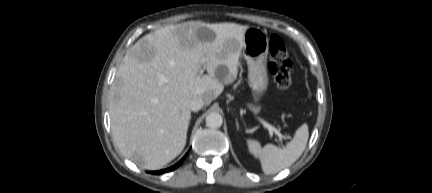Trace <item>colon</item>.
Wrapping results in <instances>:
<instances>
[{"instance_id":"obj_1","label":"colon","mask_w":432,"mask_h":193,"mask_svg":"<svg viewBox=\"0 0 432 193\" xmlns=\"http://www.w3.org/2000/svg\"><path fill=\"white\" fill-rule=\"evenodd\" d=\"M269 53V71L274 77L276 86L280 90H286L292 82V62L284 42L278 35L270 37Z\"/></svg>"}]
</instances>
